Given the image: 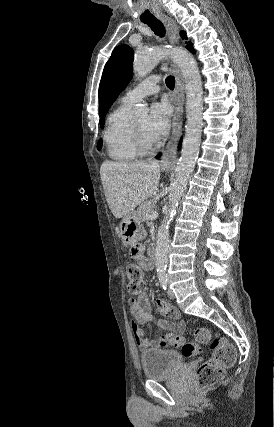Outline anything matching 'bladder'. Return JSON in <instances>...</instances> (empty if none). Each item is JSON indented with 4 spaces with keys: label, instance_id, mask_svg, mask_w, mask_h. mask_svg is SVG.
Returning a JSON list of instances; mask_svg holds the SVG:
<instances>
[{
    "label": "bladder",
    "instance_id": "obj_1",
    "mask_svg": "<svg viewBox=\"0 0 274 427\" xmlns=\"http://www.w3.org/2000/svg\"><path fill=\"white\" fill-rule=\"evenodd\" d=\"M180 360V354L172 349H147L140 354L144 376L149 380L171 377L180 368Z\"/></svg>",
    "mask_w": 274,
    "mask_h": 427
}]
</instances>
